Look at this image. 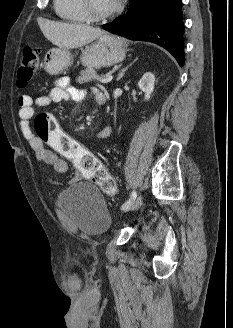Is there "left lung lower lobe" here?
<instances>
[{
	"label": "left lung lower lobe",
	"instance_id": "1",
	"mask_svg": "<svg viewBox=\"0 0 233 328\" xmlns=\"http://www.w3.org/2000/svg\"><path fill=\"white\" fill-rule=\"evenodd\" d=\"M103 29L131 40L149 41L167 49L184 64L181 0H133L127 14Z\"/></svg>",
	"mask_w": 233,
	"mask_h": 328
}]
</instances>
